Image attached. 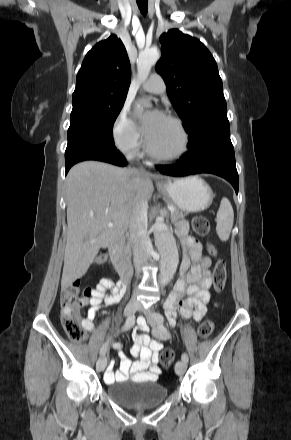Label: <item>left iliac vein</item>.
<instances>
[{
  "instance_id": "1",
  "label": "left iliac vein",
  "mask_w": 291,
  "mask_h": 440,
  "mask_svg": "<svg viewBox=\"0 0 291 440\" xmlns=\"http://www.w3.org/2000/svg\"><path fill=\"white\" fill-rule=\"evenodd\" d=\"M141 312H144L142 308H140ZM147 316V320L149 324L152 326V332L156 337L164 339V335L159 331V327L163 323V316L157 312L148 311L144 312ZM186 370V362L183 360L178 361L175 366V372L177 375L182 376Z\"/></svg>"
}]
</instances>
